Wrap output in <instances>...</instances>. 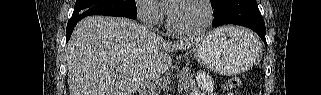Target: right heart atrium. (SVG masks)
<instances>
[{
  "label": "right heart atrium",
  "instance_id": "1",
  "mask_svg": "<svg viewBox=\"0 0 321 95\" xmlns=\"http://www.w3.org/2000/svg\"><path fill=\"white\" fill-rule=\"evenodd\" d=\"M136 10L141 22L148 25L158 23L161 18V10L154 0H138Z\"/></svg>",
  "mask_w": 321,
  "mask_h": 95
}]
</instances>
